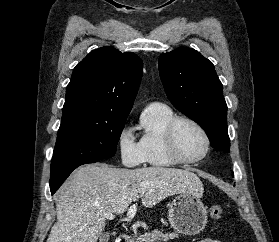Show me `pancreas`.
<instances>
[{"instance_id":"pancreas-1","label":"pancreas","mask_w":279,"mask_h":242,"mask_svg":"<svg viewBox=\"0 0 279 242\" xmlns=\"http://www.w3.org/2000/svg\"><path fill=\"white\" fill-rule=\"evenodd\" d=\"M178 237L177 233H163V231L155 229L152 232L144 233L137 237L136 242H167Z\"/></svg>"}]
</instances>
